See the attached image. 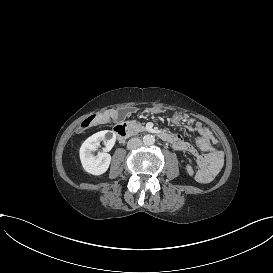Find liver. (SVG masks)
Here are the masks:
<instances>
[{
    "label": "liver",
    "mask_w": 273,
    "mask_h": 273,
    "mask_svg": "<svg viewBox=\"0 0 273 273\" xmlns=\"http://www.w3.org/2000/svg\"><path fill=\"white\" fill-rule=\"evenodd\" d=\"M114 113H115L114 110H107V111L99 113L96 116L93 125H104V124L110 123Z\"/></svg>",
    "instance_id": "6515ba94"
}]
</instances>
